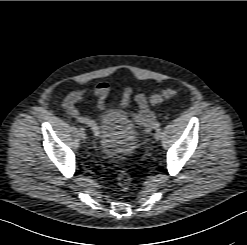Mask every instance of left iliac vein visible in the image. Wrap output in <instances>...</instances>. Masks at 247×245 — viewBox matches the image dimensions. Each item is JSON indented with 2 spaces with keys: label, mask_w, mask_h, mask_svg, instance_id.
<instances>
[{
  "label": "left iliac vein",
  "mask_w": 247,
  "mask_h": 245,
  "mask_svg": "<svg viewBox=\"0 0 247 245\" xmlns=\"http://www.w3.org/2000/svg\"><path fill=\"white\" fill-rule=\"evenodd\" d=\"M162 132L160 129H157V131L154 134V137L156 140H159L161 138Z\"/></svg>",
  "instance_id": "left-iliac-vein-1"
}]
</instances>
